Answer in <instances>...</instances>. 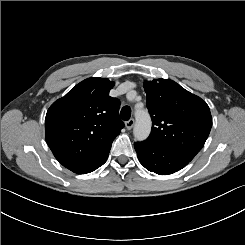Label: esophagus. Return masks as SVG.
<instances>
[{
	"label": "esophagus",
	"instance_id": "1",
	"mask_svg": "<svg viewBox=\"0 0 245 245\" xmlns=\"http://www.w3.org/2000/svg\"><path fill=\"white\" fill-rule=\"evenodd\" d=\"M134 123H135L134 119L131 118L128 121L125 122V126H126V128L128 130H131L133 128V126H134Z\"/></svg>",
	"mask_w": 245,
	"mask_h": 245
}]
</instances>
